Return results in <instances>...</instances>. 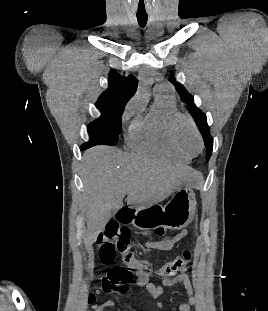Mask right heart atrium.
I'll use <instances>...</instances> for the list:
<instances>
[{"mask_svg": "<svg viewBox=\"0 0 268 311\" xmlns=\"http://www.w3.org/2000/svg\"><path fill=\"white\" fill-rule=\"evenodd\" d=\"M139 108L138 104L136 102H132L126 112H125V116H129L130 114H132L134 111H136Z\"/></svg>", "mask_w": 268, "mask_h": 311, "instance_id": "1", "label": "right heart atrium"}]
</instances>
